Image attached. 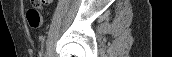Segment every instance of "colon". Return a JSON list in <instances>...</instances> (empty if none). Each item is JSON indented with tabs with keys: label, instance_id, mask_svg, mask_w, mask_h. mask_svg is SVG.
Listing matches in <instances>:
<instances>
[{
	"label": "colon",
	"instance_id": "1",
	"mask_svg": "<svg viewBox=\"0 0 172 57\" xmlns=\"http://www.w3.org/2000/svg\"><path fill=\"white\" fill-rule=\"evenodd\" d=\"M33 2H40V1H33ZM26 18H27V22L31 28L38 29L42 26L43 18L38 9H36L34 7L30 8L27 11Z\"/></svg>",
	"mask_w": 172,
	"mask_h": 57
}]
</instances>
